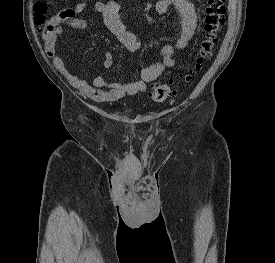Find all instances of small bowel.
<instances>
[{
  "label": "small bowel",
  "instance_id": "obj_1",
  "mask_svg": "<svg viewBox=\"0 0 275 263\" xmlns=\"http://www.w3.org/2000/svg\"><path fill=\"white\" fill-rule=\"evenodd\" d=\"M89 7L87 1H81L75 6L67 7L58 12L49 22L43 36L46 55L52 59L54 67L64 76L68 83L79 90L87 98L96 102H115L129 95L145 92L146 85L158 79L166 69L176 64L174 53L183 50L192 39L197 27V7L190 0H158L155 12L165 15L171 7L180 15V35L175 41H167L161 47V61L143 66L139 72V79L119 84L102 76H97L92 82L81 79L72 74L66 67L62 57L56 52L58 37L63 33V26L83 30L88 26L86 18L81 17ZM95 12L101 17L108 31L130 52H137L141 48V41L136 35L125 28L120 19V4L112 0L103 2L96 0L92 4ZM113 55L105 53L103 66L108 69L113 65Z\"/></svg>",
  "mask_w": 275,
  "mask_h": 263
}]
</instances>
